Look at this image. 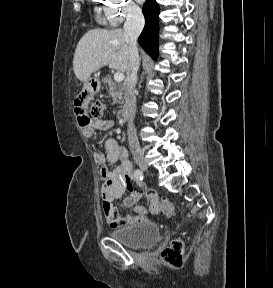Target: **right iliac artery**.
<instances>
[{
    "instance_id": "82829eb1",
    "label": "right iliac artery",
    "mask_w": 273,
    "mask_h": 288,
    "mask_svg": "<svg viewBox=\"0 0 273 288\" xmlns=\"http://www.w3.org/2000/svg\"><path fill=\"white\" fill-rule=\"evenodd\" d=\"M134 176L137 180L143 179V172L139 169L134 170Z\"/></svg>"
}]
</instances>
